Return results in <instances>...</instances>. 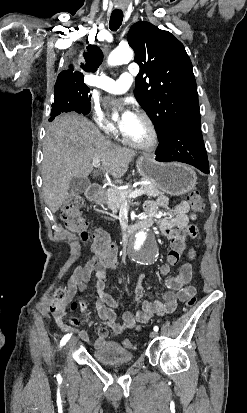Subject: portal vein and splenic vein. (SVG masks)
<instances>
[{
	"label": "portal vein and splenic vein",
	"mask_w": 247,
	"mask_h": 413,
	"mask_svg": "<svg viewBox=\"0 0 247 413\" xmlns=\"http://www.w3.org/2000/svg\"><path fill=\"white\" fill-rule=\"evenodd\" d=\"M100 158H92V164H99ZM118 190H120L121 194H124L126 196L127 190H124L123 186H119ZM145 190H142V188H136V190H133V192H129L127 196L129 198H136V196H141V194H144Z\"/></svg>",
	"instance_id": "obj_1"
}]
</instances>
